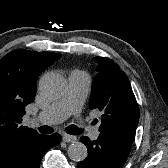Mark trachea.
<instances>
[{"label": "trachea", "mask_w": 168, "mask_h": 168, "mask_svg": "<svg viewBox=\"0 0 168 168\" xmlns=\"http://www.w3.org/2000/svg\"><path fill=\"white\" fill-rule=\"evenodd\" d=\"M38 130L42 134H51L53 132V129L49 126H41ZM65 131L71 135H79L83 132V129L78 128L76 125H70L65 129Z\"/></svg>", "instance_id": "trachea-1"}]
</instances>
